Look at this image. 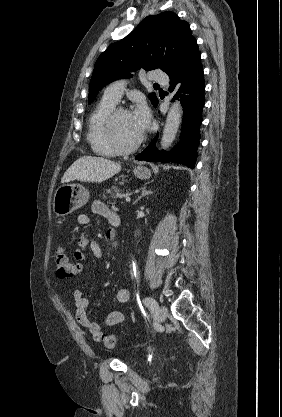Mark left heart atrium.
I'll return each instance as SVG.
<instances>
[{
    "label": "left heart atrium",
    "mask_w": 282,
    "mask_h": 417,
    "mask_svg": "<svg viewBox=\"0 0 282 417\" xmlns=\"http://www.w3.org/2000/svg\"><path fill=\"white\" fill-rule=\"evenodd\" d=\"M135 121L138 127L143 131L149 123V113L145 107L140 109L134 114Z\"/></svg>",
    "instance_id": "1"
}]
</instances>
